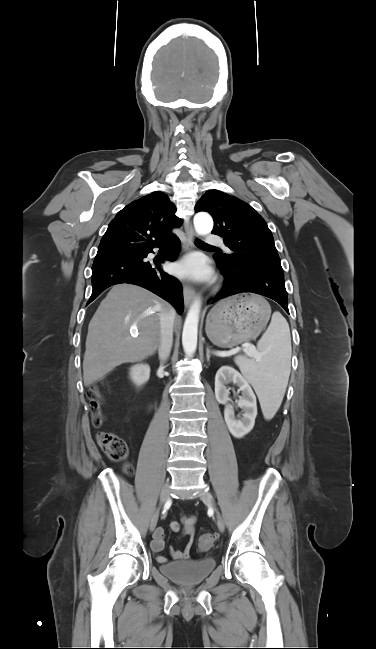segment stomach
Segmentation results:
<instances>
[{
    "mask_svg": "<svg viewBox=\"0 0 376 649\" xmlns=\"http://www.w3.org/2000/svg\"><path fill=\"white\" fill-rule=\"evenodd\" d=\"M271 314L268 302L258 295H235L220 301L208 314L206 334L220 348L254 339Z\"/></svg>",
    "mask_w": 376,
    "mask_h": 649,
    "instance_id": "0dacf381",
    "label": "stomach"
}]
</instances>
